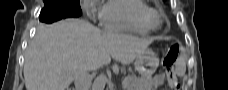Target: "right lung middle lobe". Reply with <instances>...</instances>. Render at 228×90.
<instances>
[{"label":"right lung middle lobe","mask_w":228,"mask_h":90,"mask_svg":"<svg viewBox=\"0 0 228 90\" xmlns=\"http://www.w3.org/2000/svg\"><path fill=\"white\" fill-rule=\"evenodd\" d=\"M45 6H56L60 13L68 17L81 15L80 0H43Z\"/></svg>","instance_id":"obj_1"}]
</instances>
